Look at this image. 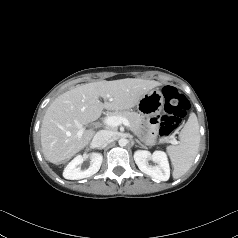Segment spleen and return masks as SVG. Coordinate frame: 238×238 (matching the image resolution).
Instances as JSON below:
<instances>
[{
    "mask_svg": "<svg viewBox=\"0 0 238 238\" xmlns=\"http://www.w3.org/2000/svg\"><path fill=\"white\" fill-rule=\"evenodd\" d=\"M180 143L167 147V153L173 165V177L179 178L192 166L200 143L199 124L195 113H191L188 121L179 134Z\"/></svg>",
    "mask_w": 238,
    "mask_h": 238,
    "instance_id": "obj_1",
    "label": "spleen"
}]
</instances>
